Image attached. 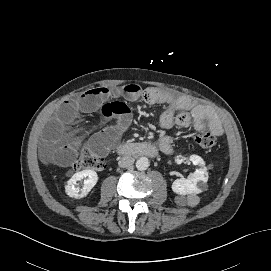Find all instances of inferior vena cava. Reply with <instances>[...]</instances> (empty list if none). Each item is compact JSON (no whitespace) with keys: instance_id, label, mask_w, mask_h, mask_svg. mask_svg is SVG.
I'll use <instances>...</instances> for the list:
<instances>
[{"instance_id":"1","label":"inferior vena cava","mask_w":271,"mask_h":271,"mask_svg":"<svg viewBox=\"0 0 271 271\" xmlns=\"http://www.w3.org/2000/svg\"><path fill=\"white\" fill-rule=\"evenodd\" d=\"M134 158L133 157H131V156H124V157H122V158H120L119 159V161H118V165L120 166V167H129V166H131L133 163H134Z\"/></svg>"}]
</instances>
